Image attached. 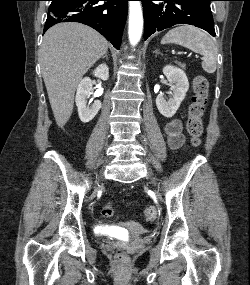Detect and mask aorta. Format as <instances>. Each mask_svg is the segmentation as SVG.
Listing matches in <instances>:
<instances>
[{"label":"aorta","mask_w":250,"mask_h":285,"mask_svg":"<svg viewBox=\"0 0 250 285\" xmlns=\"http://www.w3.org/2000/svg\"><path fill=\"white\" fill-rule=\"evenodd\" d=\"M143 30V13L140 1L129 2L128 35L131 45L135 46L141 39Z\"/></svg>","instance_id":"762f6f07"}]
</instances>
